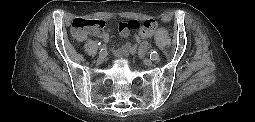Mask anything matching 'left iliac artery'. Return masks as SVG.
Here are the masks:
<instances>
[{"label": "left iliac artery", "mask_w": 255, "mask_h": 122, "mask_svg": "<svg viewBox=\"0 0 255 122\" xmlns=\"http://www.w3.org/2000/svg\"><path fill=\"white\" fill-rule=\"evenodd\" d=\"M150 58L153 60V61H158L159 60V54L156 52V51H152L150 53Z\"/></svg>", "instance_id": "44dca946"}]
</instances>
